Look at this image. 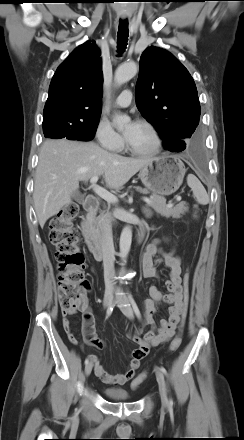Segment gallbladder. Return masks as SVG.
Segmentation results:
<instances>
[{"instance_id": "1", "label": "gallbladder", "mask_w": 244, "mask_h": 440, "mask_svg": "<svg viewBox=\"0 0 244 440\" xmlns=\"http://www.w3.org/2000/svg\"><path fill=\"white\" fill-rule=\"evenodd\" d=\"M74 200H76L77 202H81L84 199V195L81 194L80 192H76L73 195Z\"/></svg>"}]
</instances>
